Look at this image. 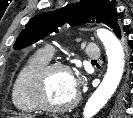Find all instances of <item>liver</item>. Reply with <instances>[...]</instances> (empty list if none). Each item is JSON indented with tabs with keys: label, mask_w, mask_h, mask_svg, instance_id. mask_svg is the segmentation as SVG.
<instances>
[{
	"label": "liver",
	"mask_w": 133,
	"mask_h": 118,
	"mask_svg": "<svg viewBox=\"0 0 133 118\" xmlns=\"http://www.w3.org/2000/svg\"><path fill=\"white\" fill-rule=\"evenodd\" d=\"M16 118H35V116L30 114H16Z\"/></svg>",
	"instance_id": "liver-1"
}]
</instances>
